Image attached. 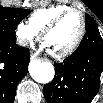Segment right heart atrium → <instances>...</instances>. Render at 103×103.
I'll return each instance as SVG.
<instances>
[{"label":"right heart atrium","mask_w":103,"mask_h":103,"mask_svg":"<svg viewBox=\"0 0 103 103\" xmlns=\"http://www.w3.org/2000/svg\"><path fill=\"white\" fill-rule=\"evenodd\" d=\"M39 32H37L29 23L19 22L15 29V35L17 42L20 45H27L37 38Z\"/></svg>","instance_id":"1"}]
</instances>
